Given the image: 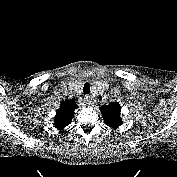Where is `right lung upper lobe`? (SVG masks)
<instances>
[{"mask_svg": "<svg viewBox=\"0 0 177 177\" xmlns=\"http://www.w3.org/2000/svg\"><path fill=\"white\" fill-rule=\"evenodd\" d=\"M77 108L75 101H62L60 108L56 111L55 115V127L59 130H63L68 124L71 123L74 117V110Z\"/></svg>", "mask_w": 177, "mask_h": 177, "instance_id": "1", "label": "right lung upper lobe"}]
</instances>
